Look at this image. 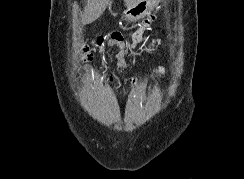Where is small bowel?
Instances as JSON below:
<instances>
[{
	"mask_svg": "<svg viewBox=\"0 0 244 179\" xmlns=\"http://www.w3.org/2000/svg\"><path fill=\"white\" fill-rule=\"evenodd\" d=\"M142 19L139 28L131 35V38H126L121 32L114 31L107 37H102L98 40L100 47H114L118 50L116 61L122 70L129 69L130 66L126 63L125 58H138V50L145 43V32L149 29L150 23L154 18H133Z\"/></svg>",
	"mask_w": 244,
	"mask_h": 179,
	"instance_id": "c3829d8e",
	"label": "small bowel"
}]
</instances>
